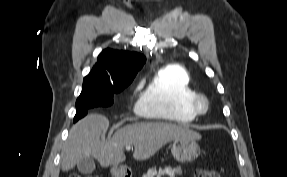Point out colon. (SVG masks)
I'll return each instance as SVG.
<instances>
[{"instance_id":"5ec220e1","label":"colon","mask_w":287,"mask_h":177,"mask_svg":"<svg viewBox=\"0 0 287 177\" xmlns=\"http://www.w3.org/2000/svg\"><path fill=\"white\" fill-rule=\"evenodd\" d=\"M69 177H83V176L79 174H72ZM85 177H91V176H85ZM194 177H221V174L218 171L211 168H201L195 172Z\"/></svg>"}]
</instances>
